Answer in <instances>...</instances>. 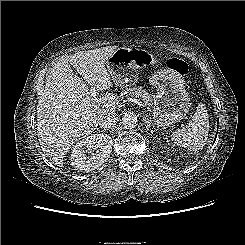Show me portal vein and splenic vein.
Returning a JSON list of instances; mask_svg holds the SVG:
<instances>
[{
  "label": "portal vein and splenic vein",
  "mask_w": 245,
  "mask_h": 245,
  "mask_svg": "<svg viewBox=\"0 0 245 245\" xmlns=\"http://www.w3.org/2000/svg\"><path fill=\"white\" fill-rule=\"evenodd\" d=\"M90 93H91V97L92 98H95L96 97V89L95 88H91V90H90ZM131 102H134V103H136V104H140L141 102H139V100H137V99H129ZM142 105V104H141Z\"/></svg>",
  "instance_id": "18ae733b"
}]
</instances>
